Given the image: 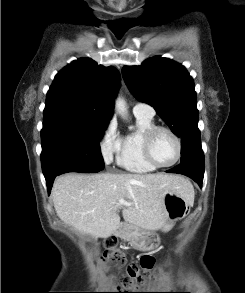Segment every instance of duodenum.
Segmentation results:
<instances>
[{
  "mask_svg": "<svg viewBox=\"0 0 245 293\" xmlns=\"http://www.w3.org/2000/svg\"><path fill=\"white\" fill-rule=\"evenodd\" d=\"M112 234L115 236L119 235V226H117V225L113 226Z\"/></svg>",
  "mask_w": 245,
  "mask_h": 293,
  "instance_id": "1",
  "label": "duodenum"
}]
</instances>
